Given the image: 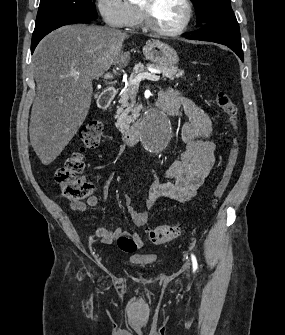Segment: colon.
<instances>
[{"label":"colon","mask_w":285,"mask_h":335,"mask_svg":"<svg viewBox=\"0 0 285 335\" xmlns=\"http://www.w3.org/2000/svg\"><path fill=\"white\" fill-rule=\"evenodd\" d=\"M215 101L227 116L233 130L236 131L238 109L234 101L227 93L221 91L216 94ZM102 133L103 125L96 120L90 121L80 128L78 135L82 142L81 150L71 155L55 174V180L66 197L80 201L93 192L94 186L81 176L84 169L83 152L96 148L100 143ZM238 156L239 143L235 136L232 140L226 166L214 190V205L219 203L230 183ZM180 231L181 229L178 225L165 224L150 229L148 237L152 243L161 245L174 240L179 236ZM117 245L122 251L127 253H133L138 248L134 238L128 234L120 235L117 238Z\"/></svg>","instance_id":"5ec220e1"}]
</instances>
